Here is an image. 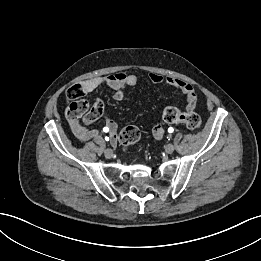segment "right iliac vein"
I'll return each mask as SVG.
<instances>
[{
  "mask_svg": "<svg viewBox=\"0 0 261 261\" xmlns=\"http://www.w3.org/2000/svg\"><path fill=\"white\" fill-rule=\"evenodd\" d=\"M104 154H105V157H106V158H111L112 155H113V152H112L111 149H106V150L104 151Z\"/></svg>",
  "mask_w": 261,
  "mask_h": 261,
  "instance_id": "63e3f726",
  "label": "right iliac vein"
}]
</instances>
